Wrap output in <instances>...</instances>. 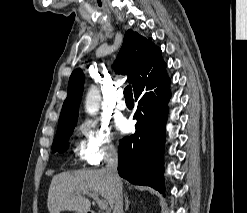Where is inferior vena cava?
Segmentation results:
<instances>
[{
	"instance_id": "inferior-vena-cava-1",
	"label": "inferior vena cava",
	"mask_w": 247,
	"mask_h": 213,
	"mask_svg": "<svg viewBox=\"0 0 247 213\" xmlns=\"http://www.w3.org/2000/svg\"><path fill=\"white\" fill-rule=\"evenodd\" d=\"M106 171L114 183V209L113 213H123L122 182L118 175V153L114 146L108 147L106 157Z\"/></svg>"
}]
</instances>
